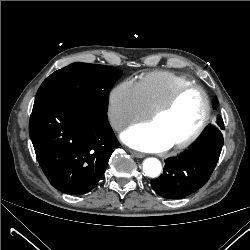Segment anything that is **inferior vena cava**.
<instances>
[{
    "label": "inferior vena cava",
    "mask_w": 250,
    "mask_h": 250,
    "mask_svg": "<svg viewBox=\"0 0 250 250\" xmlns=\"http://www.w3.org/2000/svg\"><path fill=\"white\" fill-rule=\"evenodd\" d=\"M112 126L115 129H121V128H123L125 126V122H123V121H116V122L112 123Z\"/></svg>",
    "instance_id": "inferior-vena-cava-1"
}]
</instances>
